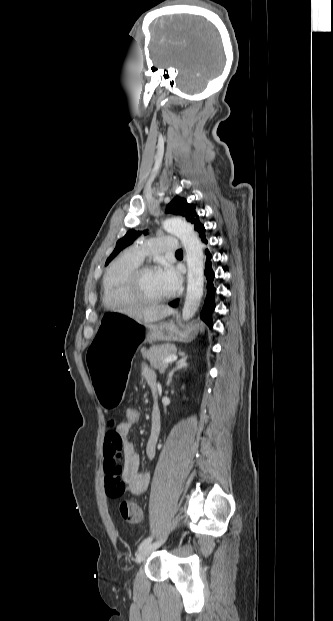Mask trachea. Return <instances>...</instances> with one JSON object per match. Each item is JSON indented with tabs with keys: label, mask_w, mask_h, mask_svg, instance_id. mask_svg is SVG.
Returning a JSON list of instances; mask_svg holds the SVG:
<instances>
[{
	"label": "trachea",
	"mask_w": 333,
	"mask_h": 621,
	"mask_svg": "<svg viewBox=\"0 0 333 621\" xmlns=\"http://www.w3.org/2000/svg\"><path fill=\"white\" fill-rule=\"evenodd\" d=\"M182 253V249H179L176 251V254H181Z\"/></svg>",
	"instance_id": "trachea-1"
}]
</instances>
